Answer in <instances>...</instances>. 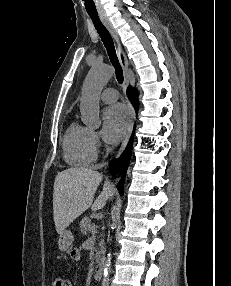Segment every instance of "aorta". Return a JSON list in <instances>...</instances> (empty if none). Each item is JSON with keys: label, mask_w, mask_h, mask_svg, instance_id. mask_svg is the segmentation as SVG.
<instances>
[{"label": "aorta", "mask_w": 231, "mask_h": 286, "mask_svg": "<svg viewBox=\"0 0 231 286\" xmlns=\"http://www.w3.org/2000/svg\"><path fill=\"white\" fill-rule=\"evenodd\" d=\"M112 73V69L107 65L93 66L83 83L80 99L81 120L89 128L100 126L99 95ZM111 259V253L108 252L103 266L102 286H108Z\"/></svg>", "instance_id": "aorta-1"}]
</instances>
